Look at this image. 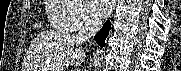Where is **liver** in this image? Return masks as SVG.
I'll use <instances>...</instances> for the list:
<instances>
[{
  "label": "liver",
  "mask_w": 181,
  "mask_h": 71,
  "mask_svg": "<svg viewBox=\"0 0 181 71\" xmlns=\"http://www.w3.org/2000/svg\"><path fill=\"white\" fill-rule=\"evenodd\" d=\"M77 38L67 32H43L32 42L24 59L22 71H64L70 64L80 66L86 54Z\"/></svg>",
  "instance_id": "obj_1"
}]
</instances>
